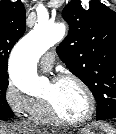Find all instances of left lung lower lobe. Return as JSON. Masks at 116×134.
<instances>
[{
    "label": "left lung lower lobe",
    "mask_w": 116,
    "mask_h": 134,
    "mask_svg": "<svg viewBox=\"0 0 116 134\" xmlns=\"http://www.w3.org/2000/svg\"><path fill=\"white\" fill-rule=\"evenodd\" d=\"M112 118H116V113H112L108 116H97V120H105V119H112Z\"/></svg>",
    "instance_id": "0a47b994"
}]
</instances>
